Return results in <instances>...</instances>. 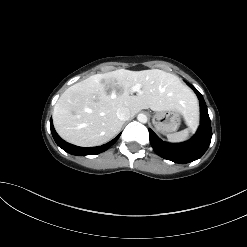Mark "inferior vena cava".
I'll return each instance as SVG.
<instances>
[{
    "instance_id": "inferior-vena-cava-1",
    "label": "inferior vena cava",
    "mask_w": 247,
    "mask_h": 247,
    "mask_svg": "<svg viewBox=\"0 0 247 247\" xmlns=\"http://www.w3.org/2000/svg\"><path fill=\"white\" fill-rule=\"evenodd\" d=\"M116 115L118 117L119 120L121 121H126L130 118L131 113L129 108L127 107H120L117 109Z\"/></svg>"
}]
</instances>
